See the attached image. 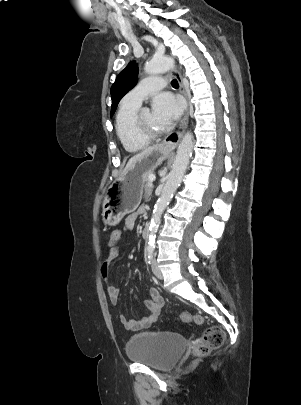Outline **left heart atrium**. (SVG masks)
I'll return each instance as SVG.
<instances>
[{"label":"left heart atrium","mask_w":301,"mask_h":405,"mask_svg":"<svg viewBox=\"0 0 301 405\" xmlns=\"http://www.w3.org/2000/svg\"><path fill=\"white\" fill-rule=\"evenodd\" d=\"M183 102L169 92L157 95L152 103V112L165 127L174 123L181 115Z\"/></svg>","instance_id":"39dd6f15"}]
</instances>
